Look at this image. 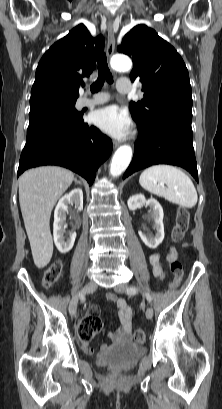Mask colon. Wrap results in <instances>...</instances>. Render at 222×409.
Segmentation results:
<instances>
[{
    "mask_svg": "<svg viewBox=\"0 0 222 409\" xmlns=\"http://www.w3.org/2000/svg\"><path fill=\"white\" fill-rule=\"evenodd\" d=\"M189 221H190L189 212L184 208H180L177 211L175 224L171 232L172 242L178 243L184 238L188 230ZM169 266L174 277L173 281L170 284V287L174 288L177 286V284L179 283L183 276V268L180 261L176 259L170 260ZM62 269H63L62 262L60 260L54 261L43 273L42 276L43 286L45 288L53 287L58 282L62 273ZM89 313H92V311L90 310ZM101 326H102L101 322L97 319L84 318L78 325V336L80 341L85 340L89 342L100 331ZM135 340L138 343L144 342L145 334L141 328H138L135 331Z\"/></svg>",
    "mask_w": 222,
    "mask_h": 409,
    "instance_id": "1",
    "label": "colon"
}]
</instances>
